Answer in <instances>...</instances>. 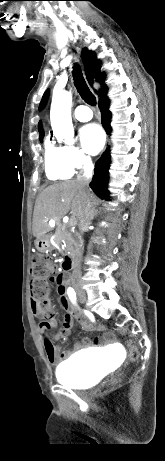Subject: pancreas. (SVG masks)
Segmentation results:
<instances>
[{
	"instance_id": "pancreas-1",
	"label": "pancreas",
	"mask_w": 165,
	"mask_h": 461,
	"mask_svg": "<svg viewBox=\"0 0 165 461\" xmlns=\"http://www.w3.org/2000/svg\"><path fill=\"white\" fill-rule=\"evenodd\" d=\"M55 240L56 241L64 240L67 250H69V251H71L73 253L76 251L77 244H76L75 240L73 239V237L67 231L63 230L61 232V230L58 229L57 233H56Z\"/></svg>"
}]
</instances>
